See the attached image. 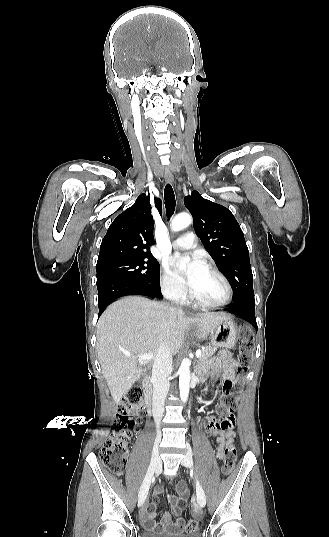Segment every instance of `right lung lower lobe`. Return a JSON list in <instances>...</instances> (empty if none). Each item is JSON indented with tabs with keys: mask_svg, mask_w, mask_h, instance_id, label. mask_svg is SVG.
<instances>
[{
	"mask_svg": "<svg viewBox=\"0 0 329 537\" xmlns=\"http://www.w3.org/2000/svg\"><path fill=\"white\" fill-rule=\"evenodd\" d=\"M99 316L115 299L126 295L162 298L160 286L133 280L103 276L97 279Z\"/></svg>",
	"mask_w": 329,
	"mask_h": 537,
	"instance_id": "98d812e1",
	"label": "right lung lower lobe"
}]
</instances>
